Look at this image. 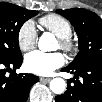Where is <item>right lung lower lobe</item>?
<instances>
[{
    "label": "right lung lower lobe",
    "instance_id": "98d812e1",
    "mask_svg": "<svg viewBox=\"0 0 102 102\" xmlns=\"http://www.w3.org/2000/svg\"><path fill=\"white\" fill-rule=\"evenodd\" d=\"M22 61V55L11 60H0V99L2 101L25 102L30 88L39 81V78L33 74L15 73ZM7 71H12L10 76L5 75Z\"/></svg>",
    "mask_w": 102,
    "mask_h": 102
}]
</instances>
